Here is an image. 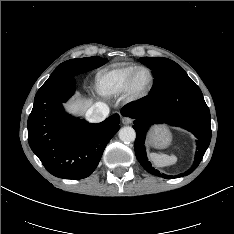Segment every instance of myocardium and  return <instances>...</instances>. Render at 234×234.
<instances>
[{"label": "myocardium", "instance_id": "f54148a6", "mask_svg": "<svg viewBox=\"0 0 234 234\" xmlns=\"http://www.w3.org/2000/svg\"><path fill=\"white\" fill-rule=\"evenodd\" d=\"M142 70H146L150 74V83L145 91L136 92L134 90V80H135L136 75ZM154 81H155V78H154V74H153L151 69H149L148 67H145V66L137 67L132 72V74L129 76V78L126 82L125 88L122 92L123 93V100L126 103H133V102H136V101H139V100L145 98L146 96H148L150 94V92L154 86Z\"/></svg>", "mask_w": 234, "mask_h": 234}]
</instances>
